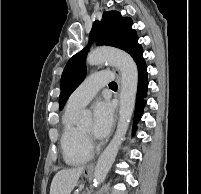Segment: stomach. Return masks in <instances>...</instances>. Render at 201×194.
<instances>
[{
  "label": "stomach",
  "mask_w": 201,
  "mask_h": 194,
  "mask_svg": "<svg viewBox=\"0 0 201 194\" xmlns=\"http://www.w3.org/2000/svg\"><path fill=\"white\" fill-rule=\"evenodd\" d=\"M86 171H87V173L86 174L84 173L85 176H87V177L90 176L91 175V170L87 167Z\"/></svg>",
  "instance_id": "stomach-1"
}]
</instances>
